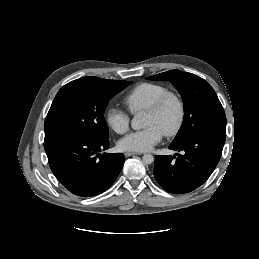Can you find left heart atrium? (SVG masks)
<instances>
[{
    "label": "left heart atrium",
    "instance_id": "1",
    "mask_svg": "<svg viewBox=\"0 0 259 259\" xmlns=\"http://www.w3.org/2000/svg\"><path fill=\"white\" fill-rule=\"evenodd\" d=\"M164 132L156 125L132 132L118 142L123 151L146 152L151 150L163 137Z\"/></svg>",
    "mask_w": 259,
    "mask_h": 259
}]
</instances>
